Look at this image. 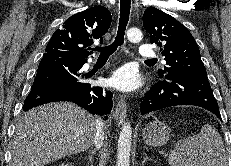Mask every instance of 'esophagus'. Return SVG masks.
<instances>
[{
	"instance_id": "34e87169",
	"label": "esophagus",
	"mask_w": 231,
	"mask_h": 166,
	"mask_svg": "<svg viewBox=\"0 0 231 166\" xmlns=\"http://www.w3.org/2000/svg\"><path fill=\"white\" fill-rule=\"evenodd\" d=\"M126 118V102L122 96L118 97L114 111V119L118 125H121Z\"/></svg>"
}]
</instances>
